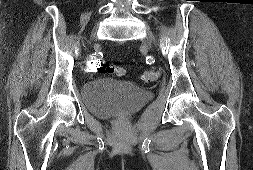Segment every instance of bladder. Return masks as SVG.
Masks as SVG:
<instances>
[{
    "instance_id": "bladder-1",
    "label": "bladder",
    "mask_w": 253,
    "mask_h": 170,
    "mask_svg": "<svg viewBox=\"0 0 253 170\" xmlns=\"http://www.w3.org/2000/svg\"><path fill=\"white\" fill-rule=\"evenodd\" d=\"M83 99L93 114L106 118L114 111L134 113L152 99V94L130 83L100 78L84 85Z\"/></svg>"
}]
</instances>
